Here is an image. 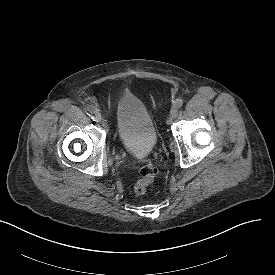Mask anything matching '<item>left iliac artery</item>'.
Segmentation results:
<instances>
[{"instance_id":"1","label":"left iliac artery","mask_w":275,"mask_h":275,"mask_svg":"<svg viewBox=\"0 0 275 275\" xmlns=\"http://www.w3.org/2000/svg\"><path fill=\"white\" fill-rule=\"evenodd\" d=\"M174 105H175L177 108H181L182 105H183V100H182V99H176Z\"/></svg>"}]
</instances>
